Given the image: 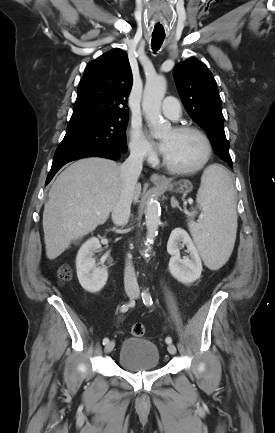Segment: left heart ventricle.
Segmentation results:
<instances>
[{
  "label": "left heart ventricle",
  "instance_id": "b2bd125f",
  "mask_svg": "<svg viewBox=\"0 0 275 433\" xmlns=\"http://www.w3.org/2000/svg\"><path fill=\"white\" fill-rule=\"evenodd\" d=\"M161 140L166 144L164 155L176 167H194L204 158L205 144L194 133H177L171 129L161 137Z\"/></svg>",
  "mask_w": 275,
  "mask_h": 433
}]
</instances>
